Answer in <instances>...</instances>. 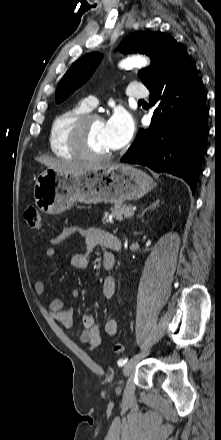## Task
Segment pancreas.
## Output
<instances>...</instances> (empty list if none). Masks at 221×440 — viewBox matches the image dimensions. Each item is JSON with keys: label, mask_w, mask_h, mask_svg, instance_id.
I'll use <instances>...</instances> for the list:
<instances>
[{"label": "pancreas", "mask_w": 221, "mask_h": 440, "mask_svg": "<svg viewBox=\"0 0 221 440\" xmlns=\"http://www.w3.org/2000/svg\"><path fill=\"white\" fill-rule=\"evenodd\" d=\"M133 206L131 204L129 205H121V204H115L114 207L110 209L111 213L118 219L126 218L125 215L131 211ZM110 213L105 211L104 217L102 218V222L105 224L106 219L109 217Z\"/></svg>", "instance_id": "1"}]
</instances>
